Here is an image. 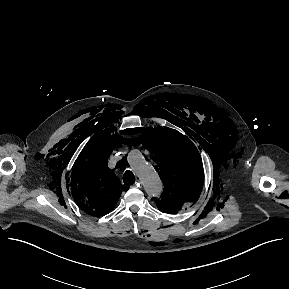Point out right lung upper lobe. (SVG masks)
I'll return each instance as SVG.
<instances>
[{"mask_svg":"<svg viewBox=\"0 0 289 289\" xmlns=\"http://www.w3.org/2000/svg\"><path fill=\"white\" fill-rule=\"evenodd\" d=\"M118 134L93 137L83 148L72 172L71 194L87 214L102 216L113 210L124 186L107 166L114 146L126 140Z\"/></svg>","mask_w":289,"mask_h":289,"instance_id":"1","label":"right lung upper lobe"}]
</instances>
